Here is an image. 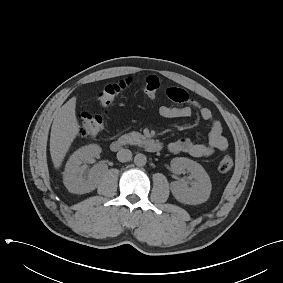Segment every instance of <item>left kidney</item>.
<instances>
[{
	"mask_svg": "<svg viewBox=\"0 0 283 283\" xmlns=\"http://www.w3.org/2000/svg\"><path fill=\"white\" fill-rule=\"evenodd\" d=\"M171 169L176 174L189 172L193 179L191 187L184 181L171 183V192L179 202L196 205L208 200L212 185L210 177L199 163L188 158L176 157L171 161Z\"/></svg>",
	"mask_w": 283,
	"mask_h": 283,
	"instance_id": "obj_1",
	"label": "left kidney"
}]
</instances>
